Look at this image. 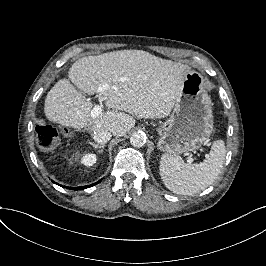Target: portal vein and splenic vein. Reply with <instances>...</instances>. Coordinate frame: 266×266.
Instances as JSON below:
<instances>
[{
	"label": "portal vein and splenic vein",
	"mask_w": 266,
	"mask_h": 266,
	"mask_svg": "<svg viewBox=\"0 0 266 266\" xmlns=\"http://www.w3.org/2000/svg\"><path fill=\"white\" fill-rule=\"evenodd\" d=\"M108 86V85H106ZM103 110V105H95L93 107V109L91 110V117L92 118H96ZM188 163H192L193 162V158H189L187 160Z\"/></svg>",
	"instance_id": "portal-vein-and-splenic-vein-1"
}]
</instances>
